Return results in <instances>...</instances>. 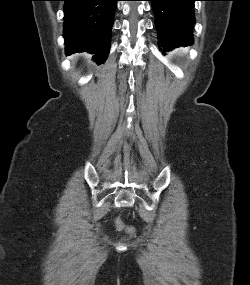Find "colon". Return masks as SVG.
Listing matches in <instances>:
<instances>
[{
  "label": "colon",
  "instance_id": "colon-1",
  "mask_svg": "<svg viewBox=\"0 0 250 285\" xmlns=\"http://www.w3.org/2000/svg\"><path fill=\"white\" fill-rule=\"evenodd\" d=\"M115 222H116V225H117V227L119 228V229H125V230H127V231H131V228H128V227H126L123 223H122V221L120 220V219H116L115 220Z\"/></svg>",
  "mask_w": 250,
  "mask_h": 285
}]
</instances>
